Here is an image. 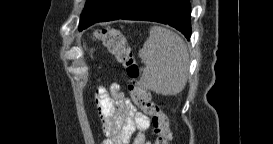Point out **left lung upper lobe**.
Wrapping results in <instances>:
<instances>
[{
	"instance_id": "1",
	"label": "left lung upper lobe",
	"mask_w": 273,
	"mask_h": 144,
	"mask_svg": "<svg viewBox=\"0 0 273 144\" xmlns=\"http://www.w3.org/2000/svg\"><path fill=\"white\" fill-rule=\"evenodd\" d=\"M92 1L93 0H88L87 2H86V5H85V8H90V7H92Z\"/></svg>"
}]
</instances>
